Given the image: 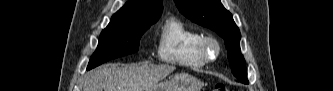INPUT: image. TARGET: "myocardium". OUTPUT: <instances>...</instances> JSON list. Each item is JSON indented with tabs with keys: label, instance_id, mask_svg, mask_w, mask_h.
<instances>
[{
	"label": "myocardium",
	"instance_id": "f54148a6",
	"mask_svg": "<svg viewBox=\"0 0 333 91\" xmlns=\"http://www.w3.org/2000/svg\"><path fill=\"white\" fill-rule=\"evenodd\" d=\"M222 48L220 42L213 36H203L199 43V53L206 63L216 61Z\"/></svg>",
	"mask_w": 333,
	"mask_h": 91
}]
</instances>
